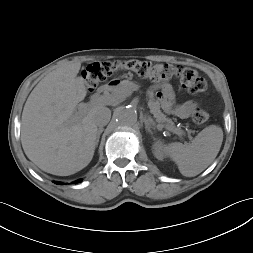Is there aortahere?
<instances>
[{
  "label": "aorta",
  "mask_w": 253,
  "mask_h": 253,
  "mask_svg": "<svg viewBox=\"0 0 253 253\" xmlns=\"http://www.w3.org/2000/svg\"><path fill=\"white\" fill-rule=\"evenodd\" d=\"M116 121L121 126H132L137 122V112L132 107H121L116 111Z\"/></svg>",
  "instance_id": "762f6f07"
}]
</instances>
